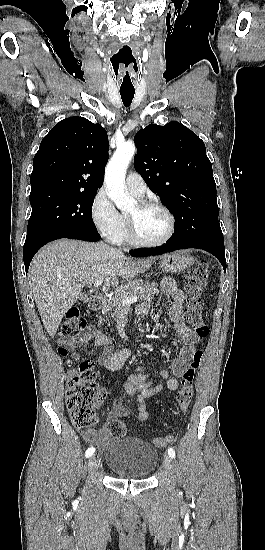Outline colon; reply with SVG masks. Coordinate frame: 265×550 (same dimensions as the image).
I'll return each instance as SVG.
<instances>
[{
	"label": "colon",
	"mask_w": 265,
	"mask_h": 550,
	"mask_svg": "<svg viewBox=\"0 0 265 550\" xmlns=\"http://www.w3.org/2000/svg\"><path fill=\"white\" fill-rule=\"evenodd\" d=\"M209 278L207 263L202 262L195 266L185 278L187 293L186 317L192 325L195 333L200 337L209 335V327L203 320V294ZM87 323L80 315L78 309H70L62 323L60 334H77L85 331ZM58 352L67 354V349L59 347ZM203 350L198 349L190 360L183 376L182 386L177 393L176 400L182 413H185L193 399L194 382L196 373L201 365ZM72 377L67 383L66 405L72 424L77 428H87L96 421V407L103 401L105 391L96 384V372L94 363L84 358L72 364ZM107 430L110 435L121 437L125 435L127 428L124 422L113 419L108 423ZM171 437L159 439L161 446L167 445Z\"/></svg>",
	"instance_id": "colon-1"
}]
</instances>
